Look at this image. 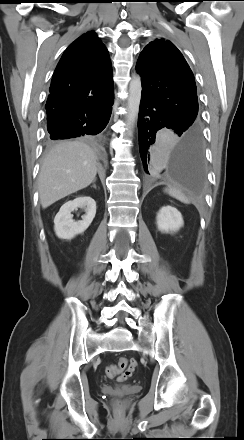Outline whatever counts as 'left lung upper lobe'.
Here are the masks:
<instances>
[{
	"instance_id": "1",
	"label": "left lung upper lobe",
	"mask_w": 244,
	"mask_h": 440,
	"mask_svg": "<svg viewBox=\"0 0 244 440\" xmlns=\"http://www.w3.org/2000/svg\"><path fill=\"white\" fill-rule=\"evenodd\" d=\"M136 71L142 96L167 109L180 125L201 132L194 76L175 45L165 39L150 42L139 56Z\"/></svg>"
}]
</instances>
